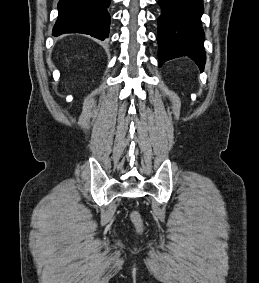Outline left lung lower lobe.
<instances>
[{"instance_id":"obj_1","label":"left lung lower lobe","mask_w":259,"mask_h":283,"mask_svg":"<svg viewBox=\"0 0 259 283\" xmlns=\"http://www.w3.org/2000/svg\"><path fill=\"white\" fill-rule=\"evenodd\" d=\"M162 13L158 18L159 67L181 56L190 57L204 69V32L201 23L203 0H159Z\"/></svg>"}]
</instances>
